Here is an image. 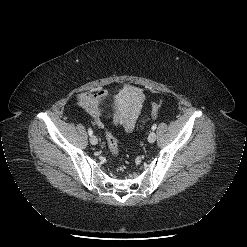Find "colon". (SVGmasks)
<instances>
[{
    "instance_id": "5ec220e1",
    "label": "colon",
    "mask_w": 247,
    "mask_h": 247,
    "mask_svg": "<svg viewBox=\"0 0 247 247\" xmlns=\"http://www.w3.org/2000/svg\"><path fill=\"white\" fill-rule=\"evenodd\" d=\"M106 140H107L108 148L112 153V155L115 157L118 156V151H119L118 142L114 137V135L109 131L106 132Z\"/></svg>"
}]
</instances>
